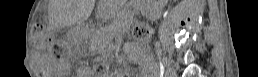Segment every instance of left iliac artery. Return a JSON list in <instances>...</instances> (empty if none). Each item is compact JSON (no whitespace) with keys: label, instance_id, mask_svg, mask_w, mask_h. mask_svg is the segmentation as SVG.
Wrapping results in <instances>:
<instances>
[{"label":"left iliac artery","instance_id":"obj_1","mask_svg":"<svg viewBox=\"0 0 258 77\" xmlns=\"http://www.w3.org/2000/svg\"><path fill=\"white\" fill-rule=\"evenodd\" d=\"M157 53H158V55H159V59L161 60V57H160L161 51H160V50H157Z\"/></svg>","mask_w":258,"mask_h":77}]
</instances>
